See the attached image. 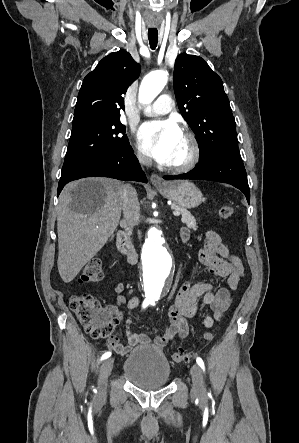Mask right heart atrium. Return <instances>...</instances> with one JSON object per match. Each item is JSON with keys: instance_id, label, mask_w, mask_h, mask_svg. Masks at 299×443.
<instances>
[{"instance_id": "right-heart-atrium-1", "label": "right heart atrium", "mask_w": 299, "mask_h": 443, "mask_svg": "<svg viewBox=\"0 0 299 443\" xmlns=\"http://www.w3.org/2000/svg\"><path fill=\"white\" fill-rule=\"evenodd\" d=\"M136 158L142 165H147L149 163V158L141 150L136 152Z\"/></svg>"}]
</instances>
